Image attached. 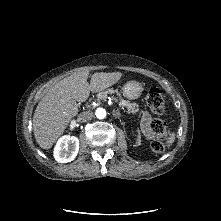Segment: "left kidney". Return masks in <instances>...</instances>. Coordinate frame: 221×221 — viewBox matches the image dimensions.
Masks as SVG:
<instances>
[{
  "label": "left kidney",
  "mask_w": 221,
  "mask_h": 221,
  "mask_svg": "<svg viewBox=\"0 0 221 221\" xmlns=\"http://www.w3.org/2000/svg\"><path fill=\"white\" fill-rule=\"evenodd\" d=\"M140 143H141V140H140V135H139V136H138V139H137V144H136V146L140 145Z\"/></svg>",
  "instance_id": "obj_1"
}]
</instances>
